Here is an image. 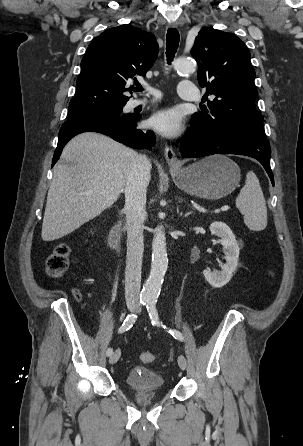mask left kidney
I'll return each instance as SVG.
<instances>
[{"label": "left kidney", "instance_id": "5707ae66", "mask_svg": "<svg viewBox=\"0 0 303 446\" xmlns=\"http://www.w3.org/2000/svg\"><path fill=\"white\" fill-rule=\"evenodd\" d=\"M212 235L220 237L223 246L226 263L222 266V271L204 270L205 279L216 288L226 285L233 276L238 265L240 247L231 229L223 222H213L210 225Z\"/></svg>", "mask_w": 303, "mask_h": 446}]
</instances>
